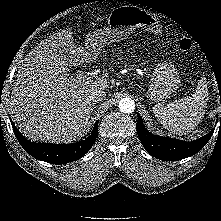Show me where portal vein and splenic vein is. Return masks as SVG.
<instances>
[{
	"label": "portal vein and splenic vein",
	"mask_w": 221,
	"mask_h": 221,
	"mask_svg": "<svg viewBox=\"0 0 221 221\" xmlns=\"http://www.w3.org/2000/svg\"><path fill=\"white\" fill-rule=\"evenodd\" d=\"M68 81H71V82H76V83H89L92 80V77L86 73H84L83 71H80L78 73V76L76 78H72V79H69Z\"/></svg>",
	"instance_id": "1"
}]
</instances>
